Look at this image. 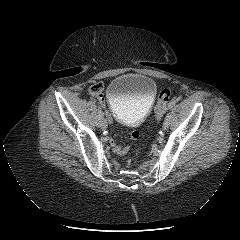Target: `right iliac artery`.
Listing matches in <instances>:
<instances>
[{
	"label": "right iliac artery",
	"mask_w": 240,
	"mask_h": 240,
	"mask_svg": "<svg viewBox=\"0 0 240 240\" xmlns=\"http://www.w3.org/2000/svg\"><path fill=\"white\" fill-rule=\"evenodd\" d=\"M103 119V112H102V110L99 108L98 109V120H97V126H100V122H101V120Z\"/></svg>",
	"instance_id": "82829eb1"
}]
</instances>
